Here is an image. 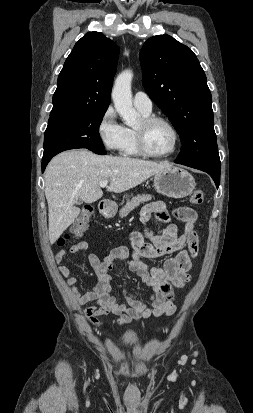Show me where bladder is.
I'll use <instances>...</instances> for the list:
<instances>
[{"instance_id": "bladder-1", "label": "bladder", "mask_w": 253, "mask_h": 413, "mask_svg": "<svg viewBox=\"0 0 253 413\" xmlns=\"http://www.w3.org/2000/svg\"><path fill=\"white\" fill-rule=\"evenodd\" d=\"M124 347L128 348V349H133V348L137 347V344L135 342L127 341V342L124 343Z\"/></svg>"}]
</instances>
